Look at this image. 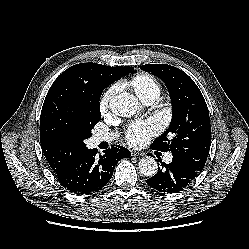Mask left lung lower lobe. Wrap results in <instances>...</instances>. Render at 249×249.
I'll return each mask as SVG.
<instances>
[{"label": "left lung lower lobe", "mask_w": 249, "mask_h": 249, "mask_svg": "<svg viewBox=\"0 0 249 249\" xmlns=\"http://www.w3.org/2000/svg\"><path fill=\"white\" fill-rule=\"evenodd\" d=\"M198 174V171L190 168L180 159L173 157L169 164L162 162L161 167H158L157 174L147 179L146 182L162 194L176 193L189 186Z\"/></svg>", "instance_id": "1"}]
</instances>
